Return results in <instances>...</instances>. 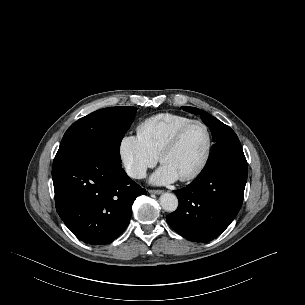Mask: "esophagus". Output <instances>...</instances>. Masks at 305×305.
I'll list each match as a JSON object with an SVG mask.
<instances>
[{
  "mask_svg": "<svg viewBox=\"0 0 305 305\" xmlns=\"http://www.w3.org/2000/svg\"><path fill=\"white\" fill-rule=\"evenodd\" d=\"M148 192L151 193V194L159 195V194L163 193V190H153V189H150V190H148Z\"/></svg>",
  "mask_w": 305,
  "mask_h": 305,
  "instance_id": "esophagus-1",
  "label": "esophagus"
}]
</instances>
